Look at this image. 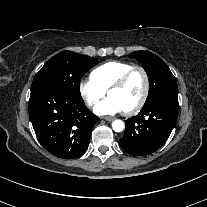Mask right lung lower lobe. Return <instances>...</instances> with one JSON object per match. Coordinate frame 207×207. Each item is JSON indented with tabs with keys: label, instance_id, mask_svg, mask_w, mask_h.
<instances>
[{
	"label": "right lung lower lobe",
	"instance_id": "1",
	"mask_svg": "<svg viewBox=\"0 0 207 207\" xmlns=\"http://www.w3.org/2000/svg\"><path fill=\"white\" fill-rule=\"evenodd\" d=\"M29 117L42 146L64 159L86 151L93 125L99 120L82 98L56 88L31 91Z\"/></svg>",
	"mask_w": 207,
	"mask_h": 207
}]
</instances>
